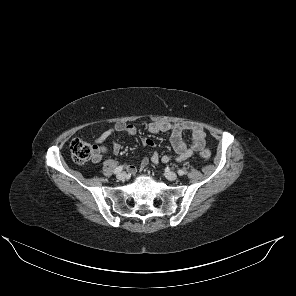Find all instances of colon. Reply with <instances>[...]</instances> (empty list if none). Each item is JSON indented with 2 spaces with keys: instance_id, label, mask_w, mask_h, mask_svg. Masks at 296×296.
Returning <instances> with one entry per match:
<instances>
[{
  "instance_id": "1",
  "label": "colon",
  "mask_w": 296,
  "mask_h": 296,
  "mask_svg": "<svg viewBox=\"0 0 296 296\" xmlns=\"http://www.w3.org/2000/svg\"><path fill=\"white\" fill-rule=\"evenodd\" d=\"M70 153L73 161L77 164H85L98 156V152L94 146L81 140L73 139L70 143ZM200 156L204 160L211 157V152L207 149L200 152Z\"/></svg>"
}]
</instances>
